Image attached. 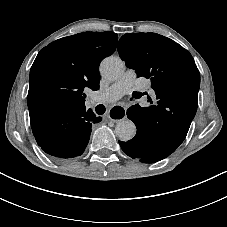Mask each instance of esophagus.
Here are the masks:
<instances>
[{
	"mask_svg": "<svg viewBox=\"0 0 227 227\" xmlns=\"http://www.w3.org/2000/svg\"><path fill=\"white\" fill-rule=\"evenodd\" d=\"M107 117L112 121H121L126 117V108L121 105H114L109 109Z\"/></svg>",
	"mask_w": 227,
	"mask_h": 227,
	"instance_id": "esophagus-1",
	"label": "esophagus"
}]
</instances>
